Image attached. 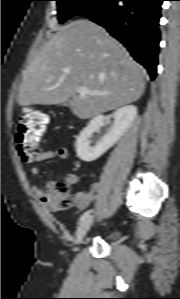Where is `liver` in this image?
Masks as SVG:
<instances>
[{"instance_id": "obj_1", "label": "liver", "mask_w": 180, "mask_h": 299, "mask_svg": "<svg viewBox=\"0 0 180 299\" xmlns=\"http://www.w3.org/2000/svg\"><path fill=\"white\" fill-rule=\"evenodd\" d=\"M145 71L125 47L102 27L77 20L60 27L26 69L19 105H55L69 101L73 114L89 119L137 101L145 89ZM110 92L77 95L76 89Z\"/></svg>"}]
</instances>
